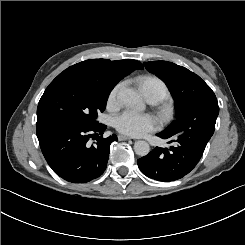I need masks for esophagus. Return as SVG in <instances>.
<instances>
[{
	"label": "esophagus",
	"mask_w": 245,
	"mask_h": 245,
	"mask_svg": "<svg viewBox=\"0 0 245 245\" xmlns=\"http://www.w3.org/2000/svg\"><path fill=\"white\" fill-rule=\"evenodd\" d=\"M118 139H119L120 141H124V140H130L131 137L120 134V135H118Z\"/></svg>",
	"instance_id": "1"
}]
</instances>
